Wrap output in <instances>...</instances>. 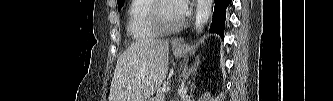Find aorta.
<instances>
[{
  "label": "aorta",
  "instance_id": "aorta-1",
  "mask_svg": "<svg viewBox=\"0 0 333 101\" xmlns=\"http://www.w3.org/2000/svg\"><path fill=\"white\" fill-rule=\"evenodd\" d=\"M213 0H197L195 30L197 34L202 33L207 24L212 10Z\"/></svg>",
  "mask_w": 333,
  "mask_h": 101
}]
</instances>
